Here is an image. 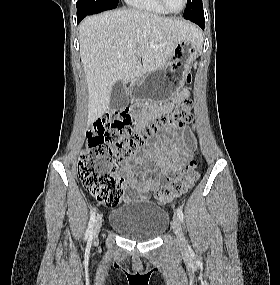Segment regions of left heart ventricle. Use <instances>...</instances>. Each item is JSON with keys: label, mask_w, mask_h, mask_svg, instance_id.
<instances>
[{"label": "left heart ventricle", "mask_w": 280, "mask_h": 285, "mask_svg": "<svg viewBox=\"0 0 280 285\" xmlns=\"http://www.w3.org/2000/svg\"><path fill=\"white\" fill-rule=\"evenodd\" d=\"M168 8L172 11H179L183 6V0H165Z\"/></svg>", "instance_id": "obj_1"}]
</instances>
